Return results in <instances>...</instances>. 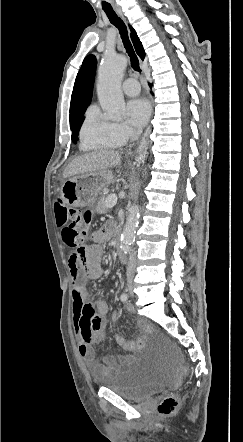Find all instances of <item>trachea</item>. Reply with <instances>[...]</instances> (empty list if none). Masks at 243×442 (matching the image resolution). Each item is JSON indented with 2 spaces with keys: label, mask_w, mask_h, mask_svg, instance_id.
Here are the masks:
<instances>
[{
  "label": "trachea",
  "mask_w": 243,
  "mask_h": 442,
  "mask_svg": "<svg viewBox=\"0 0 243 442\" xmlns=\"http://www.w3.org/2000/svg\"><path fill=\"white\" fill-rule=\"evenodd\" d=\"M103 10L106 12L110 22L113 25H115L120 32L122 42L124 44L127 54L130 57L131 67L133 68L134 71L140 73L141 69H140L139 59L135 53L131 41L129 40L128 33L124 23L117 17L111 6H103Z\"/></svg>",
  "instance_id": "3493384b"
}]
</instances>
